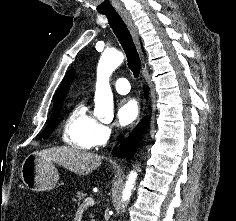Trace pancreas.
Wrapping results in <instances>:
<instances>
[{
	"mask_svg": "<svg viewBox=\"0 0 236 221\" xmlns=\"http://www.w3.org/2000/svg\"><path fill=\"white\" fill-rule=\"evenodd\" d=\"M85 198H86V194L81 191H78L76 193V196L72 198V201L74 202V204L80 205ZM90 221H94L92 215H91Z\"/></svg>",
	"mask_w": 236,
	"mask_h": 221,
	"instance_id": "obj_1",
	"label": "pancreas"
}]
</instances>
